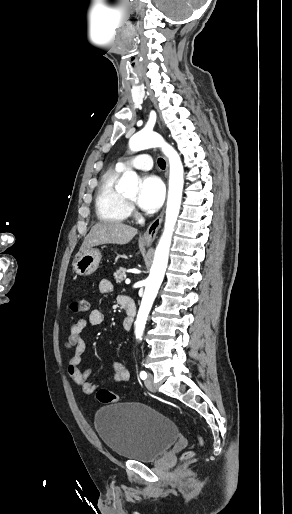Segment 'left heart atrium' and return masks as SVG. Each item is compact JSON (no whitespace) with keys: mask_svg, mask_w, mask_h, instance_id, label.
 <instances>
[{"mask_svg":"<svg viewBox=\"0 0 292 514\" xmlns=\"http://www.w3.org/2000/svg\"><path fill=\"white\" fill-rule=\"evenodd\" d=\"M164 196L165 187L161 178L156 175H147L141 180L135 201L140 209L154 212L161 206Z\"/></svg>","mask_w":292,"mask_h":514,"instance_id":"obj_1","label":"left heart atrium"}]
</instances>
